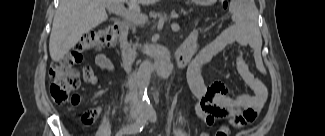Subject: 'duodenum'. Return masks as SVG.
I'll return each instance as SVG.
<instances>
[{
    "mask_svg": "<svg viewBox=\"0 0 325 136\" xmlns=\"http://www.w3.org/2000/svg\"><path fill=\"white\" fill-rule=\"evenodd\" d=\"M114 27L118 31L120 37L122 65L125 69L131 70L135 67L136 61L132 55L131 47L127 40L128 24L126 21H117L115 22ZM187 41L188 40L170 53V58L176 69L183 68L189 62L192 52V44H189Z\"/></svg>",
    "mask_w": 325,
    "mask_h": 136,
    "instance_id": "obj_1",
    "label": "duodenum"
}]
</instances>
